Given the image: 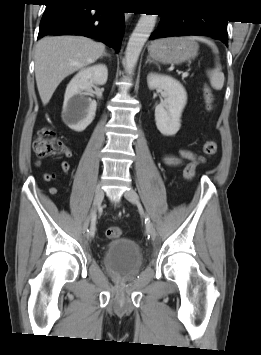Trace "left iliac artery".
Segmentation results:
<instances>
[{
    "label": "left iliac artery",
    "mask_w": 261,
    "mask_h": 355,
    "mask_svg": "<svg viewBox=\"0 0 261 355\" xmlns=\"http://www.w3.org/2000/svg\"><path fill=\"white\" fill-rule=\"evenodd\" d=\"M145 224H146V232L148 235V239L152 238L151 232H150L151 221H150V218L148 215H146V217H145Z\"/></svg>",
    "instance_id": "obj_1"
}]
</instances>
